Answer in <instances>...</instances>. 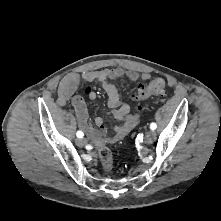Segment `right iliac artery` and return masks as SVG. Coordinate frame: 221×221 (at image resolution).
<instances>
[{
  "label": "right iliac artery",
  "instance_id": "1",
  "mask_svg": "<svg viewBox=\"0 0 221 221\" xmlns=\"http://www.w3.org/2000/svg\"><path fill=\"white\" fill-rule=\"evenodd\" d=\"M76 136H77L78 138H82V137L84 136V134H83L82 131H77Z\"/></svg>",
  "mask_w": 221,
  "mask_h": 221
}]
</instances>
